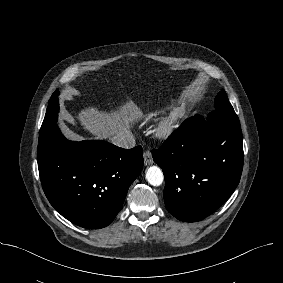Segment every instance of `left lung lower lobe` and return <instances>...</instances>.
Returning a JSON list of instances; mask_svg holds the SVG:
<instances>
[{
  "instance_id": "left-lung-lower-lobe-1",
  "label": "left lung lower lobe",
  "mask_w": 283,
  "mask_h": 283,
  "mask_svg": "<svg viewBox=\"0 0 283 283\" xmlns=\"http://www.w3.org/2000/svg\"><path fill=\"white\" fill-rule=\"evenodd\" d=\"M152 154L164 173L167 210L181 221H200L216 211L240 181L238 116L234 109H215L206 121L200 115L190 117Z\"/></svg>"
}]
</instances>
